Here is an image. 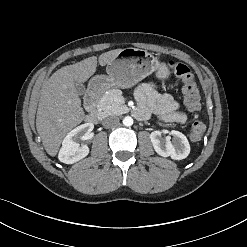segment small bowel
<instances>
[{
    "label": "small bowel",
    "instance_id": "obj_1",
    "mask_svg": "<svg viewBox=\"0 0 247 247\" xmlns=\"http://www.w3.org/2000/svg\"><path fill=\"white\" fill-rule=\"evenodd\" d=\"M135 98L139 103L136 115L147 118L154 113L166 122L185 123L187 116L178 112L179 104L168 94L160 93L153 82L140 84L135 90Z\"/></svg>",
    "mask_w": 247,
    "mask_h": 247
}]
</instances>
